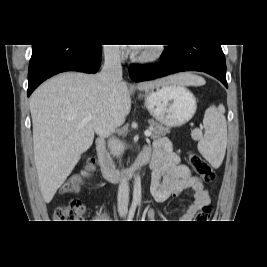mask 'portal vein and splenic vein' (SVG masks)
<instances>
[{"instance_id":"1","label":"portal vein and splenic vein","mask_w":267,"mask_h":267,"mask_svg":"<svg viewBox=\"0 0 267 267\" xmlns=\"http://www.w3.org/2000/svg\"><path fill=\"white\" fill-rule=\"evenodd\" d=\"M93 118H94V116H91V115L85 117V118L79 123V126H84V125L87 124L89 121H91ZM144 134H145L146 137H149V136H151L152 132H151L150 130H146V131L144 132Z\"/></svg>"}]
</instances>
